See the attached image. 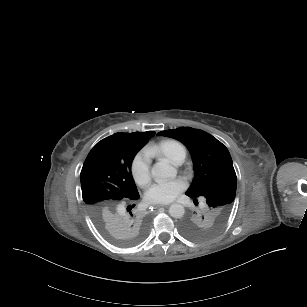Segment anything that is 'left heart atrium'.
Masks as SVG:
<instances>
[{
	"label": "left heart atrium",
	"mask_w": 307,
	"mask_h": 307,
	"mask_svg": "<svg viewBox=\"0 0 307 307\" xmlns=\"http://www.w3.org/2000/svg\"><path fill=\"white\" fill-rule=\"evenodd\" d=\"M182 190L179 181H157L149 184L145 190V198L152 204H167L173 201Z\"/></svg>",
	"instance_id": "1"
}]
</instances>
